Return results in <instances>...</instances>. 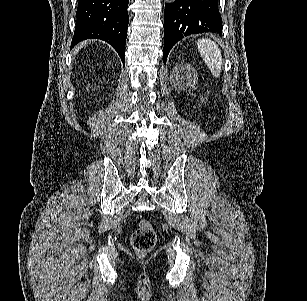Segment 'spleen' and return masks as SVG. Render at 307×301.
I'll return each instance as SVG.
<instances>
[{
    "instance_id": "3e777b00",
    "label": "spleen",
    "mask_w": 307,
    "mask_h": 301,
    "mask_svg": "<svg viewBox=\"0 0 307 301\" xmlns=\"http://www.w3.org/2000/svg\"><path fill=\"white\" fill-rule=\"evenodd\" d=\"M197 46L203 60H205L214 76H220V72H222V54L217 42L210 40V38H199Z\"/></svg>"
}]
</instances>
